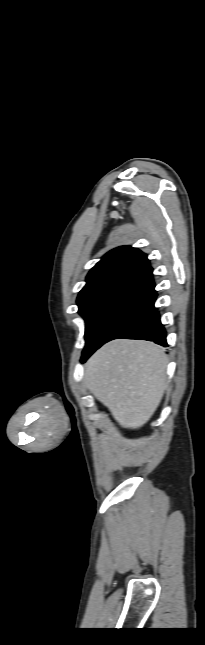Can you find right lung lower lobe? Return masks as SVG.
<instances>
[{
	"label": "right lung lower lobe",
	"instance_id": "right-lung-lower-lobe-1",
	"mask_svg": "<svg viewBox=\"0 0 205 645\" xmlns=\"http://www.w3.org/2000/svg\"><path fill=\"white\" fill-rule=\"evenodd\" d=\"M156 297V291L154 289L151 290L149 302L139 312L117 328L104 343L117 338H128L152 340L157 344L167 346L166 331L161 324L159 313L154 306ZM94 351L84 354L81 361L84 362Z\"/></svg>",
	"mask_w": 205,
	"mask_h": 645
}]
</instances>
